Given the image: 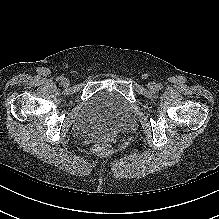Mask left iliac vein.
Listing matches in <instances>:
<instances>
[{"label": "left iliac vein", "mask_w": 219, "mask_h": 219, "mask_svg": "<svg viewBox=\"0 0 219 219\" xmlns=\"http://www.w3.org/2000/svg\"><path fill=\"white\" fill-rule=\"evenodd\" d=\"M148 88H149V90H151V91H155V90L157 89V85H156L155 82H149V83H148Z\"/></svg>", "instance_id": "4c4485c4"}]
</instances>
